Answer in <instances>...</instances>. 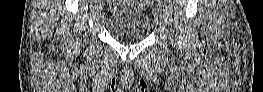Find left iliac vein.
Returning a JSON list of instances; mask_svg holds the SVG:
<instances>
[{"label":"left iliac vein","mask_w":263,"mask_h":92,"mask_svg":"<svg viewBox=\"0 0 263 92\" xmlns=\"http://www.w3.org/2000/svg\"><path fill=\"white\" fill-rule=\"evenodd\" d=\"M162 3H163V0H156V2L153 3V6H154V8H155L154 17H155V18H159V20H161Z\"/></svg>","instance_id":"left-iliac-vein-1"}]
</instances>
